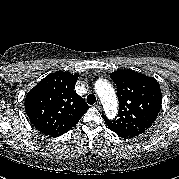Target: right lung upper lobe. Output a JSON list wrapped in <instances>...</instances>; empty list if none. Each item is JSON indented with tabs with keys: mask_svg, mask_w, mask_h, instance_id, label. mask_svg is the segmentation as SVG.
Masks as SVG:
<instances>
[{
	"mask_svg": "<svg viewBox=\"0 0 179 179\" xmlns=\"http://www.w3.org/2000/svg\"><path fill=\"white\" fill-rule=\"evenodd\" d=\"M78 74L51 73L27 93L25 110L40 132L57 137L74 127L89 109L75 92Z\"/></svg>",
	"mask_w": 179,
	"mask_h": 179,
	"instance_id": "1",
	"label": "right lung upper lobe"
}]
</instances>
